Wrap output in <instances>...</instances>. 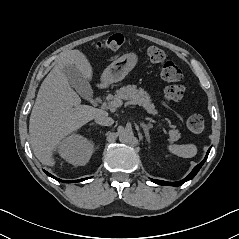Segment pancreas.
<instances>
[{"instance_id": "obj_1", "label": "pancreas", "mask_w": 239, "mask_h": 239, "mask_svg": "<svg viewBox=\"0 0 239 239\" xmlns=\"http://www.w3.org/2000/svg\"><path fill=\"white\" fill-rule=\"evenodd\" d=\"M115 100H131L134 103L143 106L148 113L156 115L157 111L149 94L142 88L137 89L135 85L123 86L116 91L114 96ZM170 141L174 142L180 138V133L177 129H172L169 131Z\"/></svg>"}]
</instances>
